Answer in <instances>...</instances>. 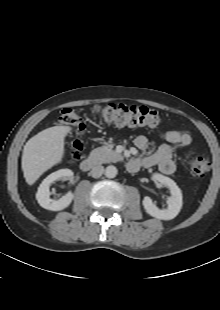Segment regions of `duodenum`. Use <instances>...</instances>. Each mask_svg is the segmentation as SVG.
<instances>
[{"label":"duodenum","instance_id":"1","mask_svg":"<svg viewBox=\"0 0 220 310\" xmlns=\"http://www.w3.org/2000/svg\"><path fill=\"white\" fill-rule=\"evenodd\" d=\"M96 165V160L94 158L83 159L79 167L83 172H90ZM141 162L138 159H130L127 162V167L130 171H136L139 169Z\"/></svg>","mask_w":220,"mask_h":310}]
</instances>
